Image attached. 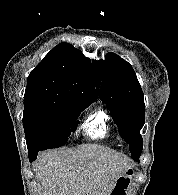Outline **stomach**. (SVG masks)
Here are the masks:
<instances>
[{
    "mask_svg": "<svg viewBox=\"0 0 178 195\" xmlns=\"http://www.w3.org/2000/svg\"><path fill=\"white\" fill-rule=\"evenodd\" d=\"M126 171H127V169H125L123 173H125ZM121 177H124V176H120L118 179H119V180L122 179ZM123 179H126V178H123ZM116 184H117V182H116ZM116 184H115V187H114V189L112 190L111 194H114V192L117 191V187H116L117 185H116Z\"/></svg>",
    "mask_w": 178,
    "mask_h": 195,
    "instance_id": "1",
    "label": "stomach"
}]
</instances>
